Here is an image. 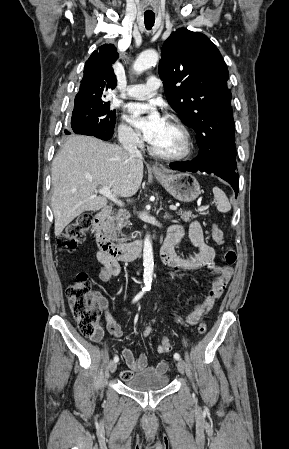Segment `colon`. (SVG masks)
<instances>
[{"label":"colon","instance_id":"1","mask_svg":"<svg viewBox=\"0 0 289 449\" xmlns=\"http://www.w3.org/2000/svg\"><path fill=\"white\" fill-rule=\"evenodd\" d=\"M91 222L92 216L89 213H84L74 219L59 236L57 240L59 248L73 251L84 240ZM211 236L216 244H223V232L216 224H213L211 227ZM236 258L235 251L232 248H228L224 255L225 262L228 265H233L236 262ZM66 294L79 331L85 337H94L100 327L101 299L92 291L88 275L84 272L78 273L75 281L67 288ZM197 331L201 335L205 334L207 325L205 323L199 324ZM151 334L152 328L150 326L145 327L142 331L144 337H149ZM161 345L163 347L159 349L162 353L165 354L171 350V345L167 338L162 339Z\"/></svg>","mask_w":289,"mask_h":449}]
</instances>
